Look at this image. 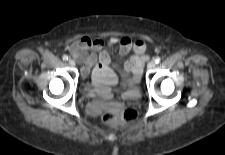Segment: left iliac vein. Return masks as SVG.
Returning a JSON list of instances; mask_svg holds the SVG:
<instances>
[{
	"label": "left iliac vein",
	"mask_w": 225,
	"mask_h": 155,
	"mask_svg": "<svg viewBox=\"0 0 225 155\" xmlns=\"http://www.w3.org/2000/svg\"><path fill=\"white\" fill-rule=\"evenodd\" d=\"M155 66H156L155 61H150V62L148 63V65H147V68H148V69H152V68H154Z\"/></svg>",
	"instance_id": "left-iliac-vein-1"
}]
</instances>
